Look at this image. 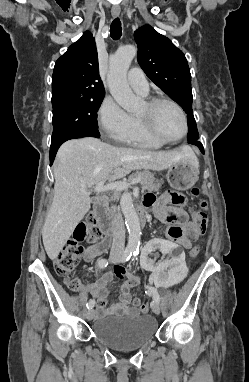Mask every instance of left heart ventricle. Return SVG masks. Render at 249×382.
Masks as SVG:
<instances>
[{"instance_id":"1","label":"left heart ventricle","mask_w":249,"mask_h":382,"mask_svg":"<svg viewBox=\"0 0 249 382\" xmlns=\"http://www.w3.org/2000/svg\"><path fill=\"white\" fill-rule=\"evenodd\" d=\"M148 107L146 103L138 113V116H146ZM153 121L160 135L165 138L175 139L183 133V122L178 111L169 104H160L153 113Z\"/></svg>"}]
</instances>
